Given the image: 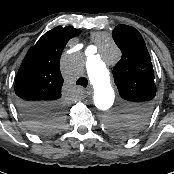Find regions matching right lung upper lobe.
Wrapping results in <instances>:
<instances>
[{
    "instance_id": "cb5924a9",
    "label": "right lung upper lobe",
    "mask_w": 174,
    "mask_h": 174,
    "mask_svg": "<svg viewBox=\"0 0 174 174\" xmlns=\"http://www.w3.org/2000/svg\"><path fill=\"white\" fill-rule=\"evenodd\" d=\"M81 31L73 27H55L46 32L29 49L16 76L15 94L17 100L56 104L61 98L63 78L59 63L61 53L69 39ZM38 114L27 119L34 121Z\"/></svg>"
}]
</instances>
